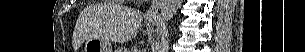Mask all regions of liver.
<instances>
[{"label": "liver", "instance_id": "6515ba94", "mask_svg": "<svg viewBox=\"0 0 305 52\" xmlns=\"http://www.w3.org/2000/svg\"><path fill=\"white\" fill-rule=\"evenodd\" d=\"M142 22L140 11L122 5H110L109 18L100 29H90L88 33L75 42L79 47L82 41L89 38H102L117 43H125L134 39Z\"/></svg>", "mask_w": 305, "mask_h": 52}]
</instances>
